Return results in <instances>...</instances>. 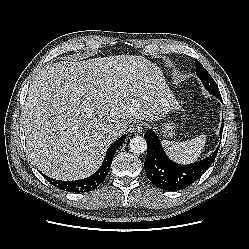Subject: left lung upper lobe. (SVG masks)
<instances>
[{
	"label": "left lung upper lobe",
	"instance_id": "1",
	"mask_svg": "<svg viewBox=\"0 0 249 249\" xmlns=\"http://www.w3.org/2000/svg\"><path fill=\"white\" fill-rule=\"evenodd\" d=\"M196 74L201 79L203 85L210 94L216 97L221 96L216 82L199 61H196Z\"/></svg>",
	"mask_w": 249,
	"mask_h": 249
}]
</instances>
